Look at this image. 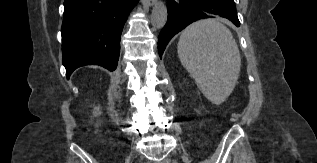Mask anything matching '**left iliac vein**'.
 <instances>
[{"label": "left iliac vein", "instance_id": "1", "mask_svg": "<svg viewBox=\"0 0 317 163\" xmlns=\"http://www.w3.org/2000/svg\"><path fill=\"white\" fill-rule=\"evenodd\" d=\"M163 163H171V161L169 159H166L163 161Z\"/></svg>", "mask_w": 317, "mask_h": 163}]
</instances>
